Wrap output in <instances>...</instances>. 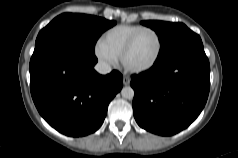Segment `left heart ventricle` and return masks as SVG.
Returning a JSON list of instances; mask_svg holds the SVG:
<instances>
[{"label":"left heart ventricle","mask_w":238,"mask_h":158,"mask_svg":"<svg viewBox=\"0 0 238 158\" xmlns=\"http://www.w3.org/2000/svg\"><path fill=\"white\" fill-rule=\"evenodd\" d=\"M158 50V42L151 32H143L137 38L132 50L127 56V64L131 67H142L149 64Z\"/></svg>","instance_id":"1"}]
</instances>
